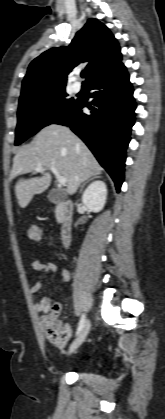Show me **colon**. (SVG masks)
<instances>
[{"label":"colon","instance_id":"1","mask_svg":"<svg viewBox=\"0 0 165 419\" xmlns=\"http://www.w3.org/2000/svg\"><path fill=\"white\" fill-rule=\"evenodd\" d=\"M29 236L33 241H40L43 238V231L36 226L30 227ZM60 310L61 307L59 304H53L51 314L41 319L43 333L52 343L59 346L67 344L71 336L70 328L55 318Z\"/></svg>","mask_w":165,"mask_h":419}]
</instances>
